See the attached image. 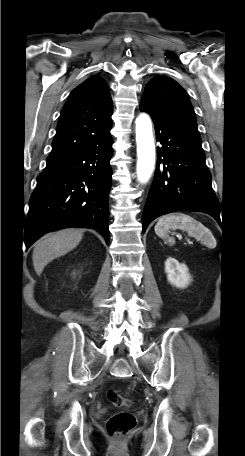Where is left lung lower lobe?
I'll return each mask as SVG.
<instances>
[{
  "instance_id": "0a47b994",
  "label": "left lung lower lobe",
  "mask_w": 245,
  "mask_h": 456,
  "mask_svg": "<svg viewBox=\"0 0 245 456\" xmlns=\"http://www.w3.org/2000/svg\"><path fill=\"white\" fill-rule=\"evenodd\" d=\"M154 122L157 165L144 207L143 232L155 218L175 211H200L219 221L220 206L211 185L200 135L144 107Z\"/></svg>"
}]
</instances>
